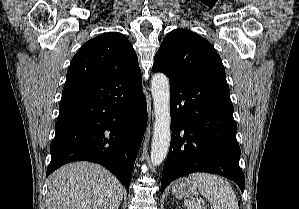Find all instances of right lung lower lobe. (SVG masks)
I'll return each mask as SVG.
<instances>
[{
    "mask_svg": "<svg viewBox=\"0 0 299 209\" xmlns=\"http://www.w3.org/2000/svg\"><path fill=\"white\" fill-rule=\"evenodd\" d=\"M147 124L142 79L107 76L66 82L46 176L73 161L109 169L129 190Z\"/></svg>",
    "mask_w": 299,
    "mask_h": 209,
    "instance_id": "98d812e1",
    "label": "right lung lower lobe"
}]
</instances>
